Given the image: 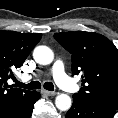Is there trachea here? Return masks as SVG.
<instances>
[{
  "label": "trachea",
  "mask_w": 118,
  "mask_h": 118,
  "mask_svg": "<svg viewBox=\"0 0 118 118\" xmlns=\"http://www.w3.org/2000/svg\"><path fill=\"white\" fill-rule=\"evenodd\" d=\"M15 83H16V86H18V87H21L24 89H30V90L39 89L41 87V83L39 81H32L29 84H24V83H21V82L16 80ZM44 88L46 90L53 91L54 85L52 82H45Z\"/></svg>",
  "instance_id": "trachea-1"
}]
</instances>
